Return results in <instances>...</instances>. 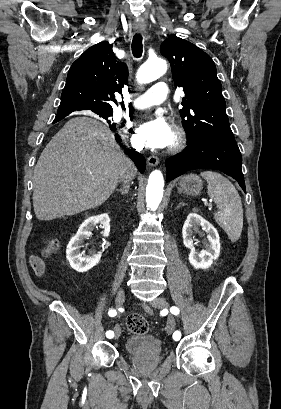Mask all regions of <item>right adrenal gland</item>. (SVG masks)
I'll return each mask as SVG.
<instances>
[{"label":"right adrenal gland","mask_w":281,"mask_h":409,"mask_svg":"<svg viewBox=\"0 0 281 409\" xmlns=\"http://www.w3.org/2000/svg\"><path fill=\"white\" fill-rule=\"evenodd\" d=\"M119 190L120 194H127L129 192V186L126 184V186H123V188H117Z\"/></svg>","instance_id":"obj_1"}]
</instances>
